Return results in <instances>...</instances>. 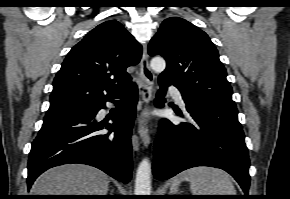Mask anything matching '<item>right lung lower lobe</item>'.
Listing matches in <instances>:
<instances>
[{
    "label": "right lung lower lobe",
    "instance_id": "right-lung-lower-lobe-1",
    "mask_svg": "<svg viewBox=\"0 0 290 199\" xmlns=\"http://www.w3.org/2000/svg\"><path fill=\"white\" fill-rule=\"evenodd\" d=\"M118 97L123 100L111 124L95 119L97 112L105 108V102L83 111L44 118L29 154L28 188L47 169L67 163L91 165L121 182L130 181V136L136 115V85L132 84ZM102 129L109 132L102 134Z\"/></svg>",
    "mask_w": 290,
    "mask_h": 199
}]
</instances>
